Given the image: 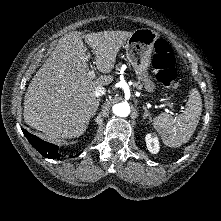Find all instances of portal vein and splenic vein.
<instances>
[{
	"mask_svg": "<svg viewBox=\"0 0 221 221\" xmlns=\"http://www.w3.org/2000/svg\"><path fill=\"white\" fill-rule=\"evenodd\" d=\"M88 76L91 78V79H94L95 78V72H94V70H89L88 71ZM169 107H173V105H168ZM166 112H168V110L166 111Z\"/></svg>",
	"mask_w": 221,
	"mask_h": 221,
	"instance_id": "1",
	"label": "portal vein and splenic vein"
}]
</instances>
